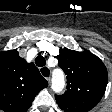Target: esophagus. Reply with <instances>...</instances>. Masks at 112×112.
I'll return each instance as SVG.
<instances>
[{"label":"esophagus","mask_w":112,"mask_h":112,"mask_svg":"<svg viewBox=\"0 0 112 112\" xmlns=\"http://www.w3.org/2000/svg\"><path fill=\"white\" fill-rule=\"evenodd\" d=\"M44 68V69H43ZM39 71H40V73L42 74V71L44 72V73H46V75L47 76H44L43 74V76L45 77V79L47 80V81H50V75H51V71H50V69L48 68V67H41L40 69H39Z\"/></svg>","instance_id":"34e87169"}]
</instances>
